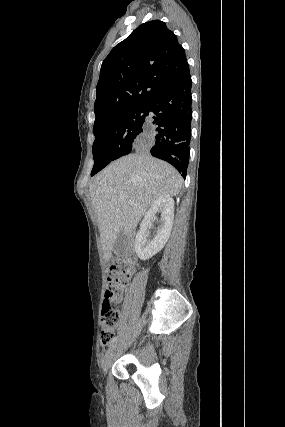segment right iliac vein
Here are the masks:
<instances>
[{
    "label": "right iliac vein",
    "mask_w": 285,
    "mask_h": 427,
    "mask_svg": "<svg viewBox=\"0 0 285 427\" xmlns=\"http://www.w3.org/2000/svg\"><path fill=\"white\" fill-rule=\"evenodd\" d=\"M116 349H117V344H114L106 352L104 359H103V362H102V369H103L104 373H106L108 371V369L110 368L112 358L114 356Z\"/></svg>",
    "instance_id": "right-iliac-vein-1"
}]
</instances>
